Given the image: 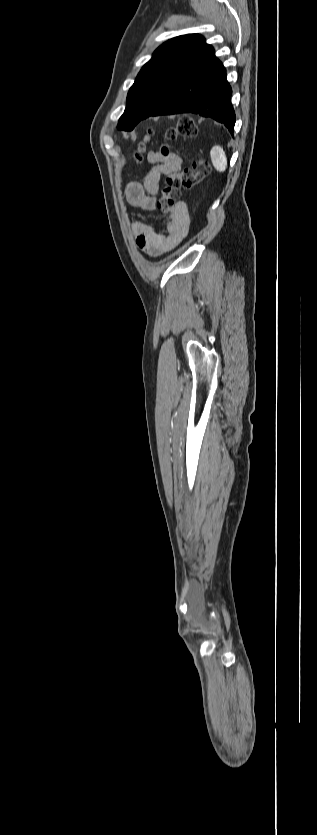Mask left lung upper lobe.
<instances>
[{
  "instance_id": "obj_1",
  "label": "left lung upper lobe",
  "mask_w": 317,
  "mask_h": 835,
  "mask_svg": "<svg viewBox=\"0 0 317 835\" xmlns=\"http://www.w3.org/2000/svg\"><path fill=\"white\" fill-rule=\"evenodd\" d=\"M198 34L175 37L162 44L142 67L127 96L117 128L131 131L167 99L188 66L208 47Z\"/></svg>"
}]
</instances>
